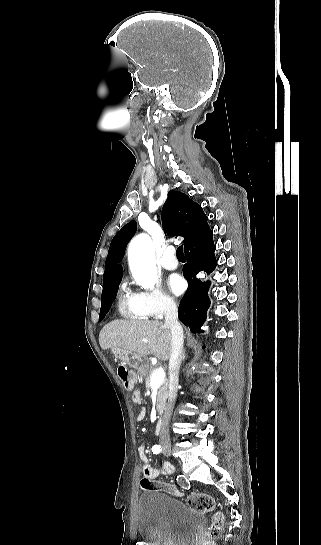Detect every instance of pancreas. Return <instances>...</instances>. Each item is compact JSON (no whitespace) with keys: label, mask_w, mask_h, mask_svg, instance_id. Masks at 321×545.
<instances>
[{"label":"pancreas","mask_w":321,"mask_h":545,"mask_svg":"<svg viewBox=\"0 0 321 545\" xmlns=\"http://www.w3.org/2000/svg\"><path fill=\"white\" fill-rule=\"evenodd\" d=\"M155 371L154 367H149L148 371L144 373L145 377V385L147 389H151V375ZM166 399H168V383L167 381H164L162 383L161 387H158V395H157V411L158 415H162V411L166 405Z\"/></svg>","instance_id":"obj_1"}]
</instances>
